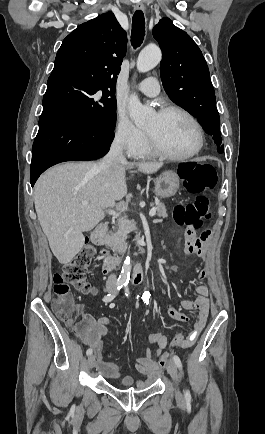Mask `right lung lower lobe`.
<instances>
[{"label": "right lung lower lobe", "mask_w": 265, "mask_h": 434, "mask_svg": "<svg viewBox=\"0 0 265 434\" xmlns=\"http://www.w3.org/2000/svg\"><path fill=\"white\" fill-rule=\"evenodd\" d=\"M113 138V131L84 124L60 107H43L32 147L31 186L55 164L103 157Z\"/></svg>", "instance_id": "98d812e1"}]
</instances>
